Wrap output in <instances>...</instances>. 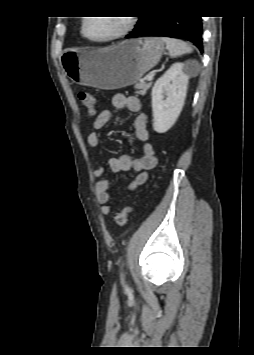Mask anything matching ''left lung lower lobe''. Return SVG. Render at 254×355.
Here are the masks:
<instances>
[{"mask_svg":"<svg viewBox=\"0 0 254 355\" xmlns=\"http://www.w3.org/2000/svg\"><path fill=\"white\" fill-rule=\"evenodd\" d=\"M134 31L126 38L166 36L187 39L203 51L200 16H141Z\"/></svg>","mask_w":254,"mask_h":355,"instance_id":"1","label":"left lung lower lobe"}]
</instances>
